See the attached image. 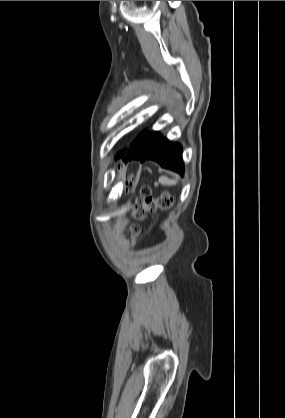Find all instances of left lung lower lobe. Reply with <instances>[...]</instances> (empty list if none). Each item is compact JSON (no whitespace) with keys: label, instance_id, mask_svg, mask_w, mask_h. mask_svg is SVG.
<instances>
[{"label":"left lung lower lobe","instance_id":"1","mask_svg":"<svg viewBox=\"0 0 285 418\" xmlns=\"http://www.w3.org/2000/svg\"><path fill=\"white\" fill-rule=\"evenodd\" d=\"M124 154L125 162L132 159L140 160V162L151 159L157 161L161 167L171 169L181 175L184 173L181 146L178 143H170L157 132L144 130L136 137L127 151L117 157Z\"/></svg>","mask_w":285,"mask_h":418}]
</instances>
